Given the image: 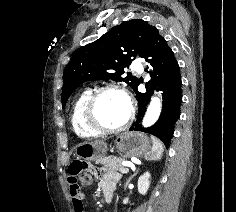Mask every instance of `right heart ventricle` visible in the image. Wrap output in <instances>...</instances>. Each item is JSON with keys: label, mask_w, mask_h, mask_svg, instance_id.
I'll return each mask as SVG.
<instances>
[{"label": "right heart ventricle", "mask_w": 236, "mask_h": 212, "mask_svg": "<svg viewBox=\"0 0 236 212\" xmlns=\"http://www.w3.org/2000/svg\"><path fill=\"white\" fill-rule=\"evenodd\" d=\"M91 93L92 90L90 88L81 90L75 97L70 112L71 126L74 133L84 139L94 138L99 135V133L91 130L84 120L85 105Z\"/></svg>", "instance_id": "e07e8e85"}]
</instances>
